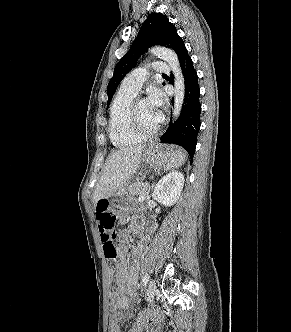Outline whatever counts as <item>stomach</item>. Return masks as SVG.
<instances>
[{
	"mask_svg": "<svg viewBox=\"0 0 291 332\" xmlns=\"http://www.w3.org/2000/svg\"><path fill=\"white\" fill-rule=\"evenodd\" d=\"M176 155L177 150H174L173 147L152 143L144 150L142 162L152 168H160L161 166L167 165ZM115 197L116 200L113 205L117 212L123 210L131 202V200L126 196V191L123 188L115 193Z\"/></svg>",
	"mask_w": 291,
	"mask_h": 332,
	"instance_id": "stomach-1",
	"label": "stomach"
}]
</instances>
